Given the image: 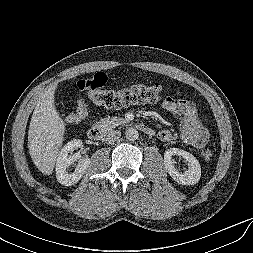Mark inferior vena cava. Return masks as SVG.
Masks as SVG:
<instances>
[{"instance_id":"602c4592","label":"inferior vena cava","mask_w":253,"mask_h":253,"mask_svg":"<svg viewBox=\"0 0 253 253\" xmlns=\"http://www.w3.org/2000/svg\"><path fill=\"white\" fill-rule=\"evenodd\" d=\"M121 137L119 130H108L104 135V140L108 143H113Z\"/></svg>"}]
</instances>
